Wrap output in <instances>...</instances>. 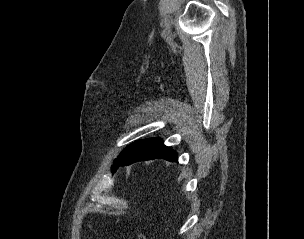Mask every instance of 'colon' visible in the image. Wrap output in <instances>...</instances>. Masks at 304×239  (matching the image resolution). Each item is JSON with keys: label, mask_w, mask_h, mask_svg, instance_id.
<instances>
[{"label": "colon", "mask_w": 304, "mask_h": 239, "mask_svg": "<svg viewBox=\"0 0 304 239\" xmlns=\"http://www.w3.org/2000/svg\"><path fill=\"white\" fill-rule=\"evenodd\" d=\"M139 239H147V238H146L145 235L141 234V235L139 236Z\"/></svg>", "instance_id": "5ec220e1"}]
</instances>
